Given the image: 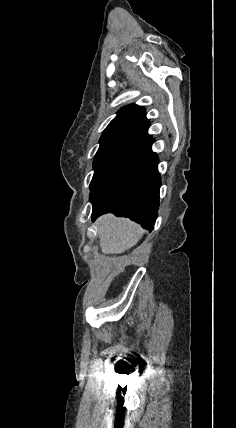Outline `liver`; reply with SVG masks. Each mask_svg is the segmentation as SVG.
<instances>
[{"label": "liver", "mask_w": 236, "mask_h": 428, "mask_svg": "<svg viewBox=\"0 0 236 428\" xmlns=\"http://www.w3.org/2000/svg\"><path fill=\"white\" fill-rule=\"evenodd\" d=\"M97 226L102 254H123L143 236L138 224L127 218H114L112 214L99 218Z\"/></svg>", "instance_id": "1"}]
</instances>
